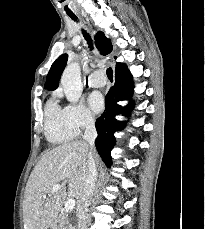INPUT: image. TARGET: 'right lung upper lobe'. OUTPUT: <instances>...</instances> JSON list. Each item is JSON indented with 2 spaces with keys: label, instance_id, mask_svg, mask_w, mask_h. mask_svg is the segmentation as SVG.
Returning <instances> with one entry per match:
<instances>
[{
  "label": "right lung upper lobe",
  "instance_id": "cb5924a9",
  "mask_svg": "<svg viewBox=\"0 0 205 229\" xmlns=\"http://www.w3.org/2000/svg\"><path fill=\"white\" fill-rule=\"evenodd\" d=\"M97 49L100 50V53L107 55L112 51V45L110 39H107L102 32H99L95 36ZM68 55L62 54L51 66V69L47 75L44 88L49 90H54L58 86V81L60 79L61 73L66 66ZM121 65L117 63L116 66Z\"/></svg>",
  "mask_w": 205,
  "mask_h": 229
}]
</instances>
